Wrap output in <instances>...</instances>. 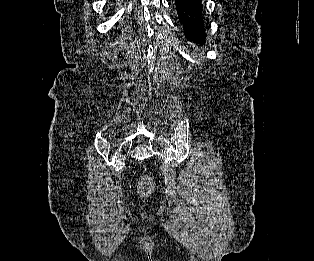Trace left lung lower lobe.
Here are the masks:
<instances>
[{
  "mask_svg": "<svg viewBox=\"0 0 314 261\" xmlns=\"http://www.w3.org/2000/svg\"><path fill=\"white\" fill-rule=\"evenodd\" d=\"M175 7L185 37L195 43H204L205 29L201 18V0H175Z\"/></svg>",
  "mask_w": 314,
  "mask_h": 261,
  "instance_id": "1",
  "label": "left lung lower lobe"
}]
</instances>
